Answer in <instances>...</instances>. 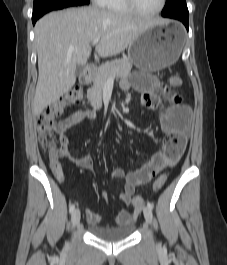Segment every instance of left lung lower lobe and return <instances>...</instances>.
Returning <instances> with one entry per match:
<instances>
[{
    "label": "left lung lower lobe",
    "instance_id": "1",
    "mask_svg": "<svg viewBox=\"0 0 227 265\" xmlns=\"http://www.w3.org/2000/svg\"><path fill=\"white\" fill-rule=\"evenodd\" d=\"M174 19H177V20H180L181 22H183V24L185 25V27H186L187 30H188V26H189V17H177V18H174Z\"/></svg>",
    "mask_w": 227,
    "mask_h": 265
}]
</instances>
